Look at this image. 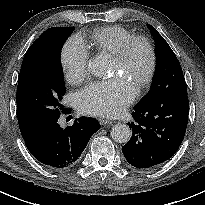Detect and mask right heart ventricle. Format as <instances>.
Here are the masks:
<instances>
[{"label": "right heart ventricle", "mask_w": 205, "mask_h": 205, "mask_svg": "<svg viewBox=\"0 0 205 205\" xmlns=\"http://www.w3.org/2000/svg\"><path fill=\"white\" fill-rule=\"evenodd\" d=\"M132 37L134 34L122 26H106L91 34L89 44L98 53H109L114 56L122 45Z\"/></svg>", "instance_id": "1"}]
</instances>
